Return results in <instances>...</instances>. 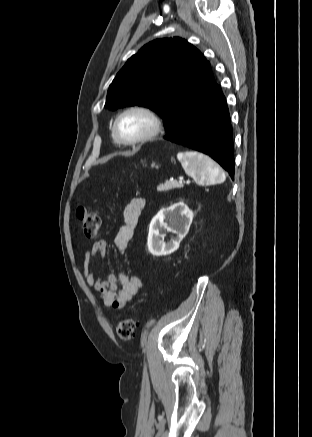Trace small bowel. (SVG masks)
I'll use <instances>...</instances> for the list:
<instances>
[{
  "instance_id": "small-bowel-1",
  "label": "small bowel",
  "mask_w": 312,
  "mask_h": 437,
  "mask_svg": "<svg viewBox=\"0 0 312 437\" xmlns=\"http://www.w3.org/2000/svg\"><path fill=\"white\" fill-rule=\"evenodd\" d=\"M145 200L141 197L132 198L123 211V225L115 237V246L124 253L133 236L138 223ZM108 251L106 240L96 241L90 250L85 253L83 275L89 287L94 289L102 298L106 307L111 309H123L132 301L135 295L143 289L144 282L138 275L120 273L100 275L94 269V262L103 259Z\"/></svg>"
}]
</instances>
